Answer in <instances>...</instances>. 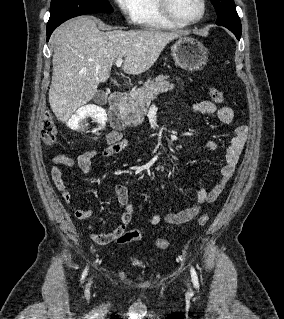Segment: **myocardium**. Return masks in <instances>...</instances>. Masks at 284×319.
I'll return each mask as SVG.
<instances>
[{
    "mask_svg": "<svg viewBox=\"0 0 284 319\" xmlns=\"http://www.w3.org/2000/svg\"><path fill=\"white\" fill-rule=\"evenodd\" d=\"M157 5L164 18L179 26H189L200 22L205 17L207 11L206 0H201L202 8L200 15L192 20H183L174 13L172 8V0H157Z\"/></svg>",
    "mask_w": 284,
    "mask_h": 319,
    "instance_id": "f54148a6",
    "label": "myocardium"
}]
</instances>
